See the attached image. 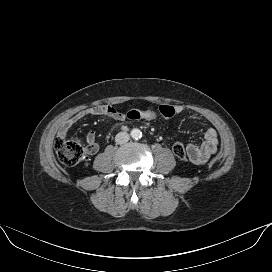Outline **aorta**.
Returning <instances> with one entry per match:
<instances>
[{
  "label": "aorta",
  "instance_id": "762f6f07",
  "mask_svg": "<svg viewBox=\"0 0 272 272\" xmlns=\"http://www.w3.org/2000/svg\"><path fill=\"white\" fill-rule=\"evenodd\" d=\"M133 139H140L142 137V132L138 128H133L130 132Z\"/></svg>",
  "mask_w": 272,
  "mask_h": 272
}]
</instances>
